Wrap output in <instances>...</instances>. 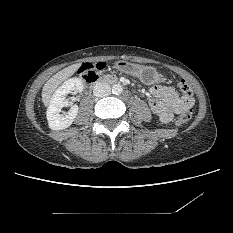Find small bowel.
<instances>
[{
    "label": "small bowel",
    "instance_id": "obj_1",
    "mask_svg": "<svg viewBox=\"0 0 233 233\" xmlns=\"http://www.w3.org/2000/svg\"><path fill=\"white\" fill-rule=\"evenodd\" d=\"M147 97L151 110L166 123L172 120L175 113L186 112L192 106V102L181 97L171 86L154 85Z\"/></svg>",
    "mask_w": 233,
    "mask_h": 233
}]
</instances>
